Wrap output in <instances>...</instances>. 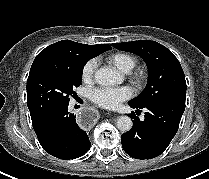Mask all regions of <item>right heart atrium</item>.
Returning <instances> with one entry per match:
<instances>
[{
  "label": "right heart atrium",
  "instance_id": "obj_1",
  "mask_svg": "<svg viewBox=\"0 0 209 179\" xmlns=\"http://www.w3.org/2000/svg\"><path fill=\"white\" fill-rule=\"evenodd\" d=\"M96 69H97L96 60L94 59L88 60L82 68V72H81L82 80L85 83H91L94 79Z\"/></svg>",
  "mask_w": 209,
  "mask_h": 179
}]
</instances>
